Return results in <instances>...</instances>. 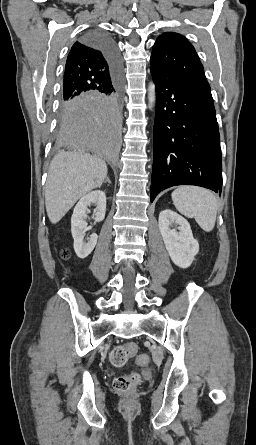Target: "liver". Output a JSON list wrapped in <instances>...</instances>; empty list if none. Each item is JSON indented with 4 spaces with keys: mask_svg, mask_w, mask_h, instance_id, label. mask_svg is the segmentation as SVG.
Instances as JSON below:
<instances>
[{
    "mask_svg": "<svg viewBox=\"0 0 256 445\" xmlns=\"http://www.w3.org/2000/svg\"><path fill=\"white\" fill-rule=\"evenodd\" d=\"M108 168L99 157H84L81 152L60 151L48 170L45 205L51 223H58L77 200L100 187Z\"/></svg>",
    "mask_w": 256,
    "mask_h": 445,
    "instance_id": "1",
    "label": "liver"
}]
</instances>
